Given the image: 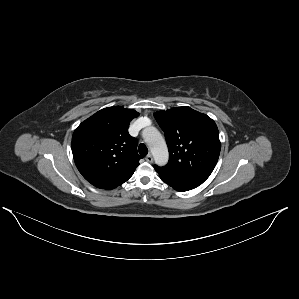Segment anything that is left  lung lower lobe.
<instances>
[{"instance_id": "1", "label": "left lung lower lobe", "mask_w": 299, "mask_h": 299, "mask_svg": "<svg viewBox=\"0 0 299 299\" xmlns=\"http://www.w3.org/2000/svg\"><path fill=\"white\" fill-rule=\"evenodd\" d=\"M160 175V174H159ZM160 178L167 183L169 186L174 188L177 191H188L191 189H194L201 185L203 182H198V181H177V180H172L165 178L160 175Z\"/></svg>"}]
</instances>
